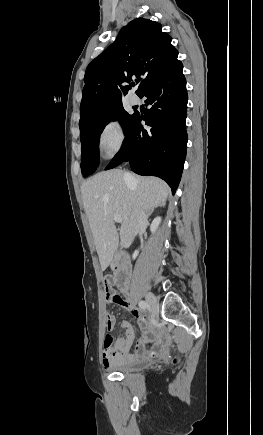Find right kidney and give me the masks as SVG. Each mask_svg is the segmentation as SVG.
<instances>
[{
    "instance_id": "obj_1",
    "label": "right kidney",
    "mask_w": 263,
    "mask_h": 435,
    "mask_svg": "<svg viewBox=\"0 0 263 435\" xmlns=\"http://www.w3.org/2000/svg\"><path fill=\"white\" fill-rule=\"evenodd\" d=\"M160 222H161V217H156V218L153 220V222L151 223V226H150V230H151L152 233H155V232H156V230H157V228H158ZM137 255H138V252H135V253L133 254V259H135V258L137 257Z\"/></svg>"
}]
</instances>
